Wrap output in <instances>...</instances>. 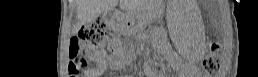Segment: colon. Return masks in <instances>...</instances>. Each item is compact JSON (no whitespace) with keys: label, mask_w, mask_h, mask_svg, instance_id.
I'll use <instances>...</instances> for the list:
<instances>
[{"label":"colon","mask_w":258,"mask_h":77,"mask_svg":"<svg viewBox=\"0 0 258 77\" xmlns=\"http://www.w3.org/2000/svg\"><path fill=\"white\" fill-rule=\"evenodd\" d=\"M108 34L109 29L101 20H94L79 31L77 37L70 45L72 62L69 65V73L71 75L78 74L80 70L88 66L83 49H95L105 46ZM203 68L210 74H217L219 72L220 63L218 59V45L216 43L211 44L209 53L203 60Z\"/></svg>","instance_id":"obj_1"}]
</instances>
